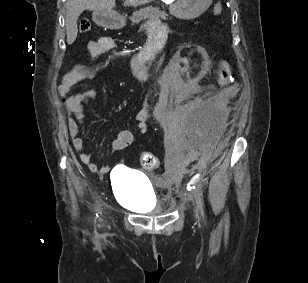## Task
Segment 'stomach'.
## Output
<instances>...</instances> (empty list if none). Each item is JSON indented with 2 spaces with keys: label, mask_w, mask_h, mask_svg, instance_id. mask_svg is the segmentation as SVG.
<instances>
[{
  "label": "stomach",
  "mask_w": 308,
  "mask_h": 283,
  "mask_svg": "<svg viewBox=\"0 0 308 283\" xmlns=\"http://www.w3.org/2000/svg\"><path fill=\"white\" fill-rule=\"evenodd\" d=\"M212 0H175L169 7L172 15L179 19L191 20L203 14L211 5ZM94 21L103 27L120 29L125 26L126 19L115 13L96 11Z\"/></svg>",
  "instance_id": "1"
}]
</instances>
